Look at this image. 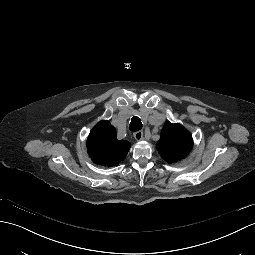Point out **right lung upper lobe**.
<instances>
[{
  "instance_id": "1",
  "label": "right lung upper lobe",
  "mask_w": 255,
  "mask_h": 255,
  "mask_svg": "<svg viewBox=\"0 0 255 255\" xmlns=\"http://www.w3.org/2000/svg\"><path fill=\"white\" fill-rule=\"evenodd\" d=\"M130 149L126 140H118L109 121H100L90 132L87 150L93 162L99 165H118Z\"/></svg>"
}]
</instances>
